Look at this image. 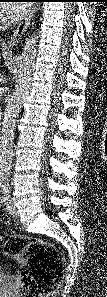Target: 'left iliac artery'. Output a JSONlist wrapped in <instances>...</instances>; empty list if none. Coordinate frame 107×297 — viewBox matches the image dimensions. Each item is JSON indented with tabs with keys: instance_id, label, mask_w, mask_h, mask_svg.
Instances as JSON below:
<instances>
[{
	"instance_id": "1",
	"label": "left iliac artery",
	"mask_w": 107,
	"mask_h": 297,
	"mask_svg": "<svg viewBox=\"0 0 107 297\" xmlns=\"http://www.w3.org/2000/svg\"><path fill=\"white\" fill-rule=\"evenodd\" d=\"M3 195L2 197L0 198L1 200V203H4V204H8L9 201H10V195H9V190L7 188H3Z\"/></svg>"
}]
</instances>
